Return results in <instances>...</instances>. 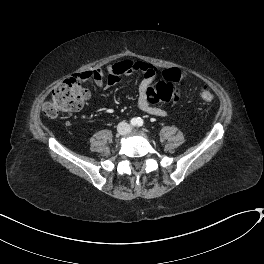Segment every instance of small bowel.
<instances>
[{
	"label": "small bowel",
	"instance_id": "1",
	"mask_svg": "<svg viewBox=\"0 0 264 264\" xmlns=\"http://www.w3.org/2000/svg\"><path fill=\"white\" fill-rule=\"evenodd\" d=\"M134 72H143L145 74L139 84V95L137 99L138 108L144 113L152 116H165L167 113L166 110L159 106H155L153 101L147 95L148 87L154 84L159 78L156 68L148 63L124 60L111 63L103 69L80 72L76 74L75 77L81 81L92 80L100 87L104 85L109 87L117 83L122 75Z\"/></svg>",
	"mask_w": 264,
	"mask_h": 264
}]
</instances>
